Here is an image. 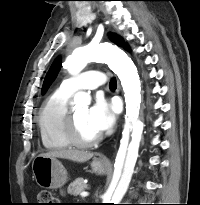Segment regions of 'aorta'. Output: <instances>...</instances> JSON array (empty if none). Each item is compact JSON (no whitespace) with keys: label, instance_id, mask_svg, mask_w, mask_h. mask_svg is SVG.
Instances as JSON below:
<instances>
[{"label":"aorta","instance_id":"aorta-1","mask_svg":"<svg viewBox=\"0 0 200 205\" xmlns=\"http://www.w3.org/2000/svg\"><path fill=\"white\" fill-rule=\"evenodd\" d=\"M92 61L107 63L118 76L124 91L126 123L122 132L118 155H126L125 163L121 178L112 197L106 195L103 197V203L118 204L129 187L143 131V123L139 120L141 84L137 68L131 58L122 49L111 43L89 44L74 49L66 60V66L71 74H77L87 63ZM74 102L79 107H88L90 96L84 92L77 93ZM131 131L132 140L128 144Z\"/></svg>","mask_w":200,"mask_h":205}]
</instances>
